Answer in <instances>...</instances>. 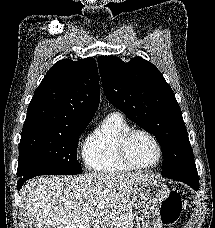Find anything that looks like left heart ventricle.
<instances>
[{"label":"left heart ventricle","instance_id":"obj_1","mask_svg":"<svg viewBox=\"0 0 215 228\" xmlns=\"http://www.w3.org/2000/svg\"><path fill=\"white\" fill-rule=\"evenodd\" d=\"M129 156L137 166H148L157 159V150L153 142L144 134L133 136L129 145Z\"/></svg>","mask_w":215,"mask_h":228}]
</instances>
